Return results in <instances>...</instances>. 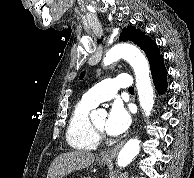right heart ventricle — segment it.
Returning <instances> with one entry per match:
<instances>
[{
    "instance_id": "1",
    "label": "right heart ventricle",
    "mask_w": 194,
    "mask_h": 178,
    "mask_svg": "<svg viewBox=\"0 0 194 178\" xmlns=\"http://www.w3.org/2000/svg\"><path fill=\"white\" fill-rule=\"evenodd\" d=\"M93 107L82 99L73 108L66 130L67 143L73 149L94 150L99 144V138L89 120Z\"/></svg>"
}]
</instances>
